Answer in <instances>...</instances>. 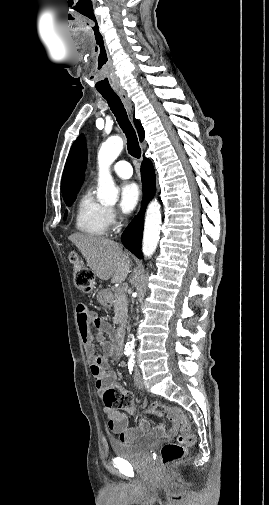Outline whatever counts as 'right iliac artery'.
Instances as JSON below:
<instances>
[{"label": "right iliac artery", "instance_id": "obj_1", "mask_svg": "<svg viewBox=\"0 0 269 505\" xmlns=\"http://www.w3.org/2000/svg\"><path fill=\"white\" fill-rule=\"evenodd\" d=\"M125 355H126V356H129V355H130V352H126V353H125Z\"/></svg>", "mask_w": 269, "mask_h": 505}]
</instances>
